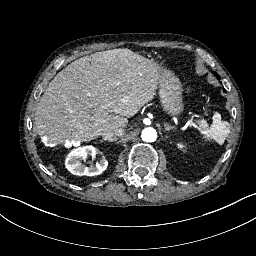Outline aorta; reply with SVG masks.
Here are the masks:
<instances>
[{"label": "aorta", "instance_id": "aorta-1", "mask_svg": "<svg viewBox=\"0 0 256 256\" xmlns=\"http://www.w3.org/2000/svg\"><path fill=\"white\" fill-rule=\"evenodd\" d=\"M141 138L145 142H154L157 139V132L152 127L144 128L141 133Z\"/></svg>", "mask_w": 256, "mask_h": 256}]
</instances>
